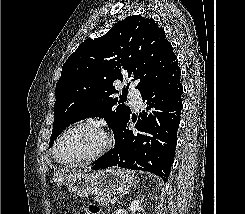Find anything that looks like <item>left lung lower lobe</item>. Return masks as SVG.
<instances>
[{
  "instance_id": "0a47b994",
  "label": "left lung lower lobe",
  "mask_w": 245,
  "mask_h": 214,
  "mask_svg": "<svg viewBox=\"0 0 245 214\" xmlns=\"http://www.w3.org/2000/svg\"><path fill=\"white\" fill-rule=\"evenodd\" d=\"M178 63L156 85L141 93L147 101L136 123L138 133L127 128L125 122L115 139V147L98 158L92 169L112 166L154 173L164 182L170 173L175 156L177 130L183 108Z\"/></svg>"
}]
</instances>
